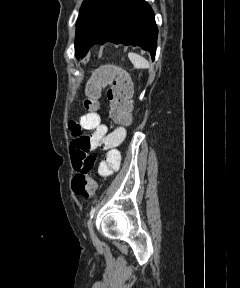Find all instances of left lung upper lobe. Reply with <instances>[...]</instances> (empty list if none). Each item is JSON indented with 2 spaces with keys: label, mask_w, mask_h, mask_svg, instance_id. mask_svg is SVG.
I'll return each instance as SVG.
<instances>
[{
  "label": "left lung upper lobe",
  "mask_w": 240,
  "mask_h": 288,
  "mask_svg": "<svg viewBox=\"0 0 240 288\" xmlns=\"http://www.w3.org/2000/svg\"><path fill=\"white\" fill-rule=\"evenodd\" d=\"M110 0H84L76 24L75 53L92 34Z\"/></svg>",
  "instance_id": "5c2ea615"
}]
</instances>
